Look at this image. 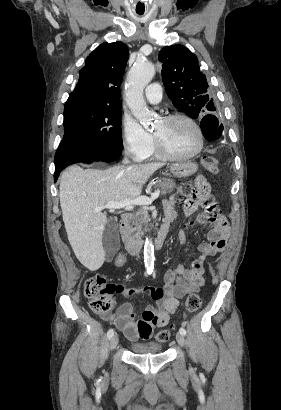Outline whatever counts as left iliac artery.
Listing matches in <instances>:
<instances>
[{
  "label": "left iliac artery",
  "mask_w": 281,
  "mask_h": 410,
  "mask_svg": "<svg viewBox=\"0 0 281 410\" xmlns=\"http://www.w3.org/2000/svg\"><path fill=\"white\" fill-rule=\"evenodd\" d=\"M179 332H180L182 335H186V330H185L183 327H181V328L179 329Z\"/></svg>",
  "instance_id": "obj_1"
}]
</instances>
